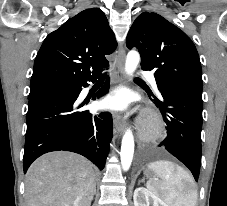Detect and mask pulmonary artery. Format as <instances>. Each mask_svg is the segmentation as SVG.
Masks as SVG:
<instances>
[{
	"mask_svg": "<svg viewBox=\"0 0 227 206\" xmlns=\"http://www.w3.org/2000/svg\"><path fill=\"white\" fill-rule=\"evenodd\" d=\"M142 75L145 76L146 78L150 79L151 82L153 83V85L156 86L155 79L150 72L144 71V72H142Z\"/></svg>",
	"mask_w": 227,
	"mask_h": 206,
	"instance_id": "1",
	"label": "pulmonary artery"
}]
</instances>
